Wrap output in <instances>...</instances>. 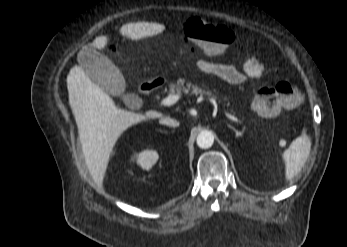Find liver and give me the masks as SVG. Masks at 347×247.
<instances>
[{"instance_id":"1","label":"liver","mask_w":347,"mask_h":247,"mask_svg":"<svg viewBox=\"0 0 347 247\" xmlns=\"http://www.w3.org/2000/svg\"><path fill=\"white\" fill-rule=\"evenodd\" d=\"M161 28L155 23L126 24L120 28V33L139 40L155 35ZM107 41L106 36H99L88 46L102 50ZM66 82L87 167L94 180L101 184L113 147L121 134L133 125L159 118L162 114L157 111L138 114L117 108L112 98L77 65L71 68Z\"/></svg>"}]
</instances>
